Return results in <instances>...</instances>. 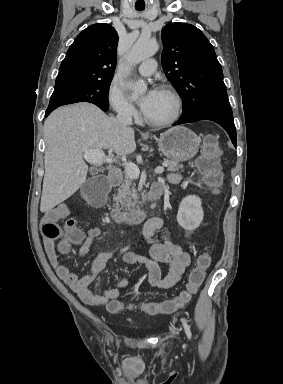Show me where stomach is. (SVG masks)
Segmentation results:
<instances>
[{"instance_id": "obj_1", "label": "stomach", "mask_w": 283, "mask_h": 384, "mask_svg": "<svg viewBox=\"0 0 283 384\" xmlns=\"http://www.w3.org/2000/svg\"><path fill=\"white\" fill-rule=\"evenodd\" d=\"M158 146L162 154L172 162H186L197 154L200 140L192 130L176 126L160 136Z\"/></svg>"}]
</instances>
